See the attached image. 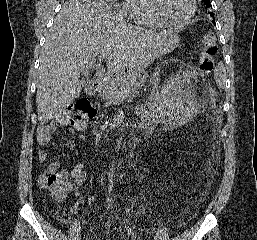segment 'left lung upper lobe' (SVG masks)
<instances>
[{
	"label": "left lung upper lobe",
	"instance_id": "left-lung-upper-lobe-1",
	"mask_svg": "<svg viewBox=\"0 0 257 240\" xmlns=\"http://www.w3.org/2000/svg\"><path fill=\"white\" fill-rule=\"evenodd\" d=\"M203 2H204V5H205L207 8L212 7V6H211V3H210V0H203ZM210 14H211V16L213 17V12H211ZM213 23H215V22L213 21Z\"/></svg>",
	"mask_w": 257,
	"mask_h": 240
}]
</instances>
